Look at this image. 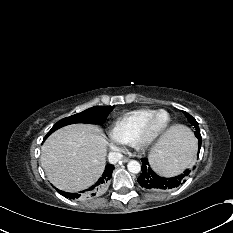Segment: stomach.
I'll use <instances>...</instances> for the list:
<instances>
[{
  "instance_id": "0dacf381",
  "label": "stomach",
  "mask_w": 233,
  "mask_h": 233,
  "mask_svg": "<svg viewBox=\"0 0 233 233\" xmlns=\"http://www.w3.org/2000/svg\"><path fill=\"white\" fill-rule=\"evenodd\" d=\"M152 166L153 168L160 174L162 175H169L170 172H169V169L164 167L159 160L157 161H152Z\"/></svg>"
}]
</instances>
